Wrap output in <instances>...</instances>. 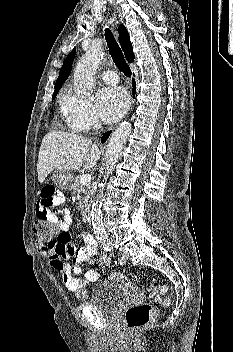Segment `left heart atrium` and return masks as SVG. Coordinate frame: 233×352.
I'll return each mask as SVG.
<instances>
[{
    "label": "left heart atrium",
    "instance_id": "obj_1",
    "mask_svg": "<svg viewBox=\"0 0 233 352\" xmlns=\"http://www.w3.org/2000/svg\"><path fill=\"white\" fill-rule=\"evenodd\" d=\"M128 107V95L123 88L108 87L97 95V108L104 121H117Z\"/></svg>",
    "mask_w": 233,
    "mask_h": 352
}]
</instances>
